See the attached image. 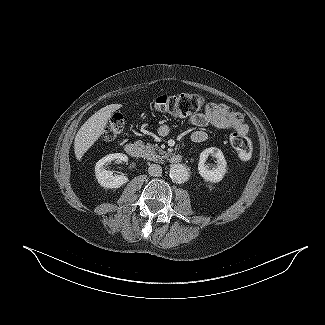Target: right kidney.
I'll list each match as a JSON object with an SVG mask.
<instances>
[{
	"mask_svg": "<svg viewBox=\"0 0 325 325\" xmlns=\"http://www.w3.org/2000/svg\"><path fill=\"white\" fill-rule=\"evenodd\" d=\"M120 160L126 162L128 157L122 153L109 154L100 159L95 166V175L98 183L105 188H119L128 182L127 176L117 175L113 176V172L105 169V164L113 161Z\"/></svg>",
	"mask_w": 325,
	"mask_h": 325,
	"instance_id": "right-kidney-1",
	"label": "right kidney"
}]
</instances>
